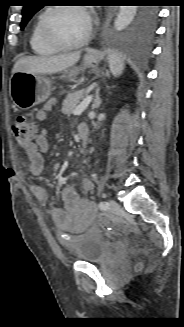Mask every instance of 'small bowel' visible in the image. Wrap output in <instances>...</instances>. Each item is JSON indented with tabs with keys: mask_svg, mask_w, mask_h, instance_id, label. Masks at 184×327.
Wrapping results in <instances>:
<instances>
[{
	"mask_svg": "<svg viewBox=\"0 0 184 327\" xmlns=\"http://www.w3.org/2000/svg\"><path fill=\"white\" fill-rule=\"evenodd\" d=\"M55 100H49L35 114L37 121L45 120L53 106ZM49 149L48 132L43 129L38 134L35 142L25 148L29 160V169L32 175L39 176L44 169V153ZM82 190L84 193H92L94 184L89 179L82 181ZM31 191L37 201L46 205L49 201V195L45 188L40 185H32ZM63 207L51 209V215L55 225L62 231L70 233L84 232L94 221L96 217L95 205L85 197H82L72 185L65 186L61 191Z\"/></svg>",
	"mask_w": 184,
	"mask_h": 327,
	"instance_id": "1",
	"label": "small bowel"
}]
</instances>
